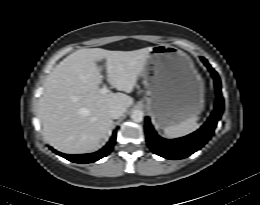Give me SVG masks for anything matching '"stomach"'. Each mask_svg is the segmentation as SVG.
Wrapping results in <instances>:
<instances>
[{
    "instance_id": "obj_1",
    "label": "stomach",
    "mask_w": 260,
    "mask_h": 205,
    "mask_svg": "<svg viewBox=\"0 0 260 205\" xmlns=\"http://www.w3.org/2000/svg\"><path fill=\"white\" fill-rule=\"evenodd\" d=\"M141 75L147 111L159 128L180 124L203 110V80L191 58L177 47H153Z\"/></svg>"
}]
</instances>
